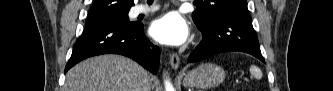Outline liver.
Here are the masks:
<instances>
[{"mask_svg":"<svg viewBox=\"0 0 333 91\" xmlns=\"http://www.w3.org/2000/svg\"><path fill=\"white\" fill-rule=\"evenodd\" d=\"M148 72L129 58L102 55L89 58L66 74L64 91H143Z\"/></svg>","mask_w":333,"mask_h":91,"instance_id":"liver-1","label":"liver"}]
</instances>
